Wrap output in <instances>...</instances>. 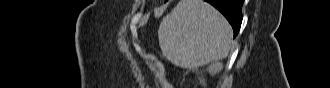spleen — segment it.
<instances>
[{"label":"spleen","instance_id":"spleen-1","mask_svg":"<svg viewBox=\"0 0 330 88\" xmlns=\"http://www.w3.org/2000/svg\"><path fill=\"white\" fill-rule=\"evenodd\" d=\"M162 54L178 67L197 68L227 57L232 28L203 0H181L158 30Z\"/></svg>","mask_w":330,"mask_h":88}]
</instances>
